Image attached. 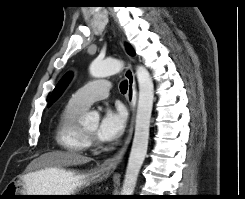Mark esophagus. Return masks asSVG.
I'll return each mask as SVG.
<instances>
[{"instance_id": "34e87169", "label": "esophagus", "mask_w": 245, "mask_h": 199, "mask_svg": "<svg viewBox=\"0 0 245 199\" xmlns=\"http://www.w3.org/2000/svg\"><path fill=\"white\" fill-rule=\"evenodd\" d=\"M124 76L128 81V89L126 98L130 106L131 111V119L130 125L128 129V135L124 142L123 147L113 156L110 157L101 164L100 168L103 171L110 172L116 169V167L120 164L123 159V156L128 148V145L131 141L133 129H134V122H135V114H136V104H137V89H136V81H135V74L132 69L131 62L128 61Z\"/></svg>"}]
</instances>
